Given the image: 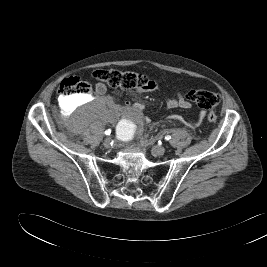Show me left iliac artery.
<instances>
[{
  "instance_id": "obj_1",
  "label": "left iliac artery",
  "mask_w": 267,
  "mask_h": 267,
  "mask_svg": "<svg viewBox=\"0 0 267 267\" xmlns=\"http://www.w3.org/2000/svg\"><path fill=\"white\" fill-rule=\"evenodd\" d=\"M170 139H171V136H170V135H166V136H165V140L168 141V140H170Z\"/></svg>"
}]
</instances>
